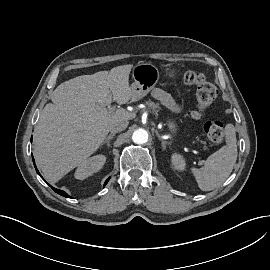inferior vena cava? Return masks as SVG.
Segmentation results:
<instances>
[{
    "label": "inferior vena cava",
    "mask_w": 270,
    "mask_h": 270,
    "mask_svg": "<svg viewBox=\"0 0 270 270\" xmlns=\"http://www.w3.org/2000/svg\"><path fill=\"white\" fill-rule=\"evenodd\" d=\"M128 124H129V122L127 120L118 121V122L114 123L113 125H111L110 131H111V133L121 132L127 128Z\"/></svg>",
    "instance_id": "1"
}]
</instances>
